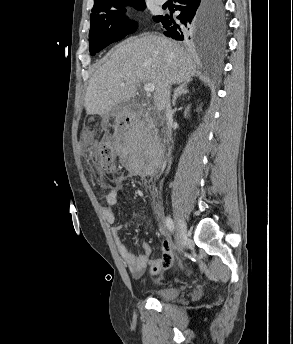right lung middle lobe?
<instances>
[{"instance_id": "dd1d6c3e", "label": "right lung middle lobe", "mask_w": 293, "mask_h": 344, "mask_svg": "<svg viewBox=\"0 0 293 344\" xmlns=\"http://www.w3.org/2000/svg\"><path fill=\"white\" fill-rule=\"evenodd\" d=\"M133 6L143 11L146 7L143 0H121L92 10L89 32L90 54L101 51L109 44L123 39L136 28L135 22H130L125 16L126 6ZM159 16L153 17L157 19ZM216 20L220 30L223 28L224 10L221 0H216Z\"/></svg>"}]
</instances>
